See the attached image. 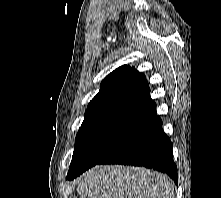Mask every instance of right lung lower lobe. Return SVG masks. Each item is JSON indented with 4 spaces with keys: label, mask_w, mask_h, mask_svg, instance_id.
<instances>
[{
    "label": "right lung lower lobe",
    "mask_w": 221,
    "mask_h": 198,
    "mask_svg": "<svg viewBox=\"0 0 221 198\" xmlns=\"http://www.w3.org/2000/svg\"><path fill=\"white\" fill-rule=\"evenodd\" d=\"M98 164L144 166L166 173L176 184L178 181L172 143L163 132L162 120L156 114Z\"/></svg>",
    "instance_id": "1"
}]
</instances>
